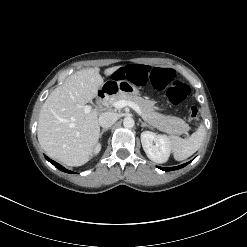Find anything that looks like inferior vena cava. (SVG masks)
I'll use <instances>...</instances> for the list:
<instances>
[{
  "instance_id": "inferior-vena-cava-1",
  "label": "inferior vena cava",
  "mask_w": 247,
  "mask_h": 247,
  "mask_svg": "<svg viewBox=\"0 0 247 247\" xmlns=\"http://www.w3.org/2000/svg\"><path fill=\"white\" fill-rule=\"evenodd\" d=\"M117 121V115L113 112H104L99 116V124L103 128L111 127Z\"/></svg>"
}]
</instances>
